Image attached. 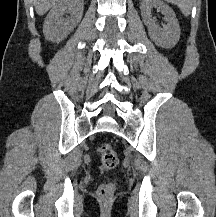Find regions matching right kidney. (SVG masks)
<instances>
[{"label": "right kidney", "mask_w": 216, "mask_h": 217, "mask_svg": "<svg viewBox=\"0 0 216 217\" xmlns=\"http://www.w3.org/2000/svg\"><path fill=\"white\" fill-rule=\"evenodd\" d=\"M83 7L84 0H59L45 19L43 26L45 38L52 42L66 38L81 21ZM66 13L70 16L64 18Z\"/></svg>", "instance_id": "right-kidney-1"}]
</instances>
